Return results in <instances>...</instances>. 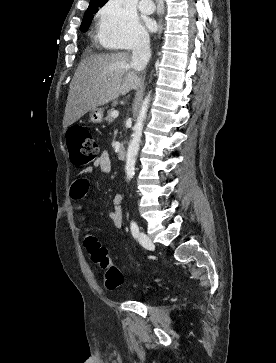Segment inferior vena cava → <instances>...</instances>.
Returning <instances> with one entry per match:
<instances>
[{"label": "inferior vena cava", "instance_id": "obj_1", "mask_svg": "<svg viewBox=\"0 0 276 363\" xmlns=\"http://www.w3.org/2000/svg\"><path fill=\"white\" fill-rule=\"evenodd\" d=\"M151 57L150 50V38L148 34H141L136 39L131 57V66L136 71H142L145 69L149 59Z\"/></svg>", "mask_w": 276, "mask_h": 363}]
</instances>
